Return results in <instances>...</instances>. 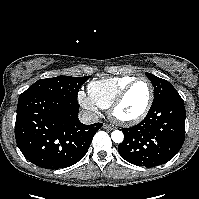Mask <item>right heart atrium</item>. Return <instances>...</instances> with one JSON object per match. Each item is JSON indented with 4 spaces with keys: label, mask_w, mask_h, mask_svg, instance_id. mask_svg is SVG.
I'll list each match as a JSON object with an SVG mask.
<instances>
[{
    "label": "right heart atrium",
    "mask_w": 199,
    "mask_h": 199,
    "mask_svg": "<svg viewBox=\"0 0 199 199\" xmlns=\"http://www.w3.org/2000/svg\"><path fill=\"white\" fill-rule=\"evenodd\" d=\"M78 101L83 108L89 110L90 112H98V106L90 99V97L83 90H80L78 93Z\"/></svg>",
    "instance_id": "1"
}]
</instances>
